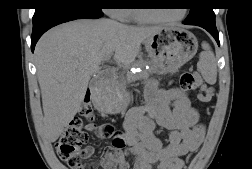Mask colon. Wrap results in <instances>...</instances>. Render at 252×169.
<instances>
[{"label":"colon","instance_id":"obj_1","mask_svg":"<svg viewBox=\"0 0 252 169\" xmlns=\"http://www.w3.org/2000/svg\"><path fill=\"white\" fill-rule=\"evenodd\" d=\"M180 84L182 89L187 91L201 90L199 99L201 101H209L213 95V90L202 84L197 75L193 72H185L181 76ZM80 116L88 121L94 119V113L91 105L87 102L80 110ZM97 135L104 139H111L113 144L117 147H123L122 133L115 129L110 123L99 125ZM88 139L87 133L83 129L82 120L76 117L62 132L60 138L56 143L57 154L70 169H85L86 165L83 163V158L87 157L91 150L84 147ZM106 154H102L94 163L91 164L90 169H98L100 165H104Z\"/></svg>","mask_w":252,"mask_h":169}]
</instances>
